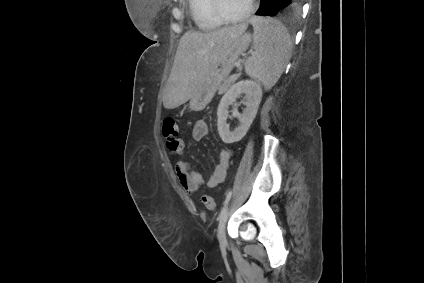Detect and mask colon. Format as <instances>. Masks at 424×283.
<instances>
[{"mask_svg": "<svg viewBox=\"0 0 424 283\" xmlns=\"http://www.w3.org/2000/svg\"><path fill=\"white\" fill-rule=\"evenodd\" d=\"M162 133L166 139V143L171 146L172 151L181 152L183 149V142L179 138V127L175 117L166 116L162 124ZM202 202L208 210H215L216 203L209 195L202 196Z\"/></svg>", "mask_w": 424, "mask_h": 283, "instance_id": "1", "label": "colon"}]
</instances>
